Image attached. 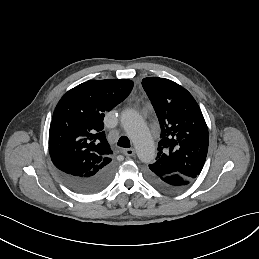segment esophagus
<instances>
[{
    "instance_id": "esophagus-1",
    "label": "esophagus",
    "mask_w": 259,
    "mask_h": 259,
    "mask_svg": "<svg viewBox=\"0 0 259 259\" xmlns=\"http://www.w3.org/2000/svg\"><path fill=\"white\" fill-rule=\"evenodd\" d=\"M122 153L126 156H133L135 154V150L133 148H126L122 150Z\"/></svg>"
}]
</instances>
